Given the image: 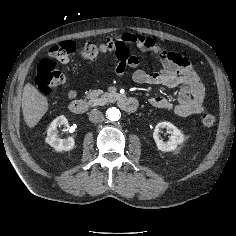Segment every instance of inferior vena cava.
<instances>
[{
	"instance_id": "obj_1",
	"label": "inferior vena cava",
	"mask_w": 236,
	"mask_h": 236,
	"mask_svg": "<svg viewBox=\"0 0 236 236\" xmlns=\"http://www.w3.org/2000/svg\"><path fill=\"white\" fill-rule=\"evenodd\" d=\"M104 119V115L101 111L97 110V109H93L91 110V112L89 113V120L92 123H99L102 122Z\"/></svg>"
}]
</instances>
